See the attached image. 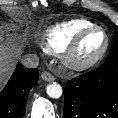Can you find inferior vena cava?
Returning <instances> with one entry per match:
<instances>
[{
    "label": "inferior vena cava",
    "mask_w": 118,
    "mask_h": 118,
    "mask_svg": "<svg viewBox=\"0 0 118 118\" xmlns=\"http://www.w3.org/2000/svg\"><path fill=\"white\" fill-rule=\"evenodd\" d=\"M21 63L25 67L36 68L39 65V58L36 54H27L21 58Z\"/></svg>",
    "instance_id": "obj_1"
}]
</instances>
